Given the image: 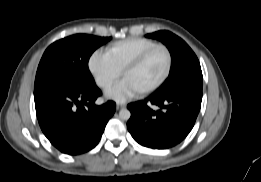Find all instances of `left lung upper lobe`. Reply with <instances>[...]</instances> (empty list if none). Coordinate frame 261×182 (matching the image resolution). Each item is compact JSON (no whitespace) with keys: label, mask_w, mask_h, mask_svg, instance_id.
<instances>
[{"label":"left lung upper lobe","mask_w":261,"mask_h":182,"mask_svg":"<svg viewBox=\"0 0 261 182\" xmlns=\"http://www.w3.org/2000/svg\"><path fill=\"white\" fill-rule=\"evenodd\" d=\"M146 37L162 41L168 47L172 58L169 76L155 95L166 96L193 85H202L200 63L192 49L181 38L169 31H158L147 34Z\"/></svg>","instance_id":"1"}]
</instances>
